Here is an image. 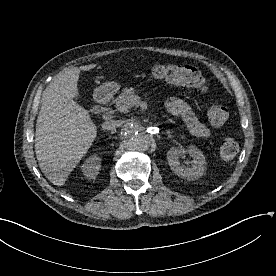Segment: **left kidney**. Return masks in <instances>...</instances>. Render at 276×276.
Returning a JSON list of instances; mask_svg holds the SVG:
<instances>
[{
	"label": "left kidney",
	"mask_w": 276,
	"mask_h": 276,
	"mask_svg": "<svg viewBox=\"0 0 276 276\" xmlns=\"http://www.w3.org/2000/svg\"><path fill=\"white\" fill-rule=\"evenodd\" d=\"M185 153L193 159L191 168L182 166L179 162V158ZM167 160L171 170L187 180L199 179L206 168L205 156L196 146H189L186 150L172 147L167 152Z\"/></svg>",
	"instance_id": "left-kidney-1"
}]
</instances>
